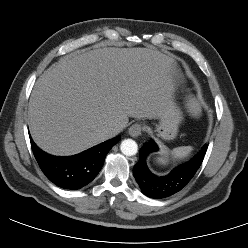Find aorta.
<instances>
[{
	"label": "aorta",
	"mask_w": 248,
	"mask_h": 248,
	"mask_svg": "<svg viewBox=\"0 0 248 248\" xmlns=\"http://www.w3.org/2000/svg\"><path fill=\"white\" fill-rule=\"evenodd\" d=\"M120 150L125 156H133L138 152V145L132 139H125L121 142Z\"/></svg>",
	"instance_id": "obj_1"
}]
</instances>
